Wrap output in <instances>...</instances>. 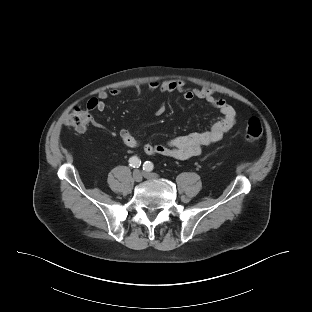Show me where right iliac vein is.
I'll list each match as a JSON object with an SVG mask.
<instances>
[{
  "mask_svg": "<svg viewBox=\"0 0 312 312\" xmlns=\"http://www.w3.org/2000/svg\"><path fill=\"white\" fill-rule=\"evenodd\" d=\"M142 178H143V175H142L141 171L135 170V171L133 172V179H134L136 182H140V181L142 180Z\"/></svg>",
  "mask_w": 312,
  "mask_h": 312,
  "instance_id": "right-iliac-vein-1",
  "label": "right iliac vein"
}]
</instances>
